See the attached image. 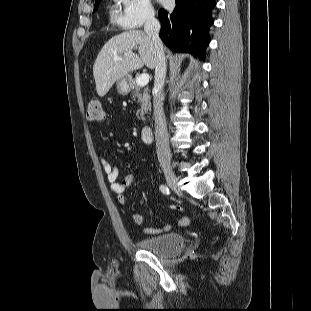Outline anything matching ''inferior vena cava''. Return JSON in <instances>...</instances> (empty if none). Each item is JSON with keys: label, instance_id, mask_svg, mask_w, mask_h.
Returning <instances> with one entry per match:
<instances>
[{"label": "inferior vena cava", "instance_id": "602c4592", "mask_svg": "<svg viewBox=\"0 0 311 311\" xmlns=\"http://www.w3.org/2000/svg\"><path fill=\"white\" fill-rule=\"evenodd\" d=\"M160 23L155 18L154 13L147 15L144 31L153 42L156 52L155 81H154V117H155V138L156 152L161 166H170L171 153L169 148L166 119L163 111L164 93L163 87L166 78V58L163 43L159 37Z\"/></svg>", "mask_w": 311, "mask_h": 311}]
</instances>
